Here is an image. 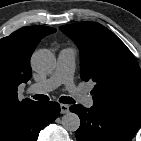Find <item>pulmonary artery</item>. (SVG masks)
<instances>
[{
    "label": "pulmonary artery",
    "instance_id": "e3ab8cb5",
    "mask_svg": "<svg viewBox=\"0 0 141 141\" xmlns=\"http://www.w3.org/2000/svg\"><path fill=\"white\" fill-rule=\"evenodd\" d=\"M75 58L76 51L73 48L61 49L52 75L41 82L31 85L28 92L34 94L46 93L60 85H64L84 106L91 107L93 105L91 96L78 89L73 82Z\"/></svg>",
    "mask_w": 141,
    "mask_h": 141
}]
</instances>
